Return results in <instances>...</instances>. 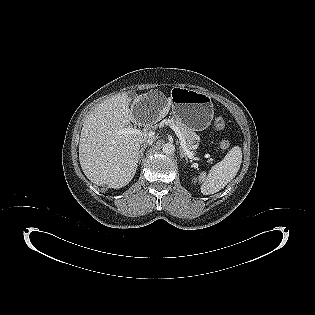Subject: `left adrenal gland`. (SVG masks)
Wrapping results in <instances>:
<instances>
[{
    "instance_id": "left-adrenal-gland-1",
    "label": "left adrenal gland",
    "mask_w": 315,
    "mask_h": 315,
    "mask_svg": "<svg viewBox=\"0 0 315 315\" xmlns=\"http://www.w3.org/2000/svg\"><path fill=\"white\" fill-rule=\"evenodd\" d=\"M179 153H180V158H185L188 161V158L186 156V154L184 153V151L181 149V147L179 148Z\"/></svg>"
}]
</instances>
